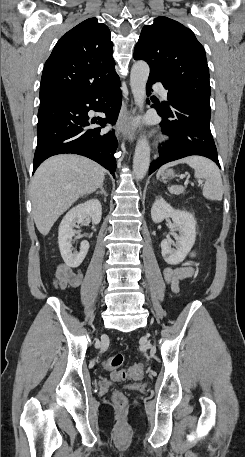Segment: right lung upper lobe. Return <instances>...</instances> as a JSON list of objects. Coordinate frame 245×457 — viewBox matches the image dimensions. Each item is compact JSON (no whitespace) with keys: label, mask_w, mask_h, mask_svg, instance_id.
Masks as SVG:
<instances>
[{"label":"right lung upper lobe","mask_w":245,"mask_h":457,"mask_svg":"<svg viewBox=\"0 0 245 457\" xmlns=\"http://www.w3.org/2000/svg\"><path fill=\"white\" fill-rule=\"evenodd\" d=\"M112 47L108 27L97 18H89L64 34L45 63L40 105L116 78Z\"/></svg>","instance_id":"right-lung-upper-lobe-1"}]
</instances>
